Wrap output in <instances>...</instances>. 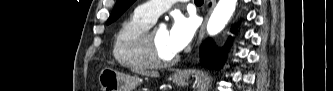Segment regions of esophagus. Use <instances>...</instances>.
Here are the masks:
<instances>
[{"label": "esophagus", "mask_w": 333, "mask_h": 91, "mask_svg": "<svg viewBox=\"0 0 333 91\" xmlns=\"http://www.w3.org/2000/svg\"><path fill=\"white\" fill-rule=\"evenodd\" d=\"M215 2H216L215 0H212V8H213V6L215 5ZM212 8H211L210 11L208 12L207 16L205 17V19H204V21H203V23H202V25H201V28H200V31H199V36H198V42H197L198 45H200L201 42H202V40H203L204 33H205V28H206V23H207V19H208V16H209V14H210ZM176 75H177V76H182L183 73L180 72V71H178V72H176Z\"/></svg>", "instance_id": "esophagus-1"}]
</instances>
